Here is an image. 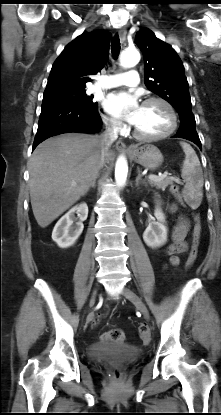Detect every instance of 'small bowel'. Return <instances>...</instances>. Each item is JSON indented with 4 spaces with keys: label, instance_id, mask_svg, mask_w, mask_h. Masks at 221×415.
Listing matches in <instances>:
<instances>
[{
    "label": "small bowel",
    "instance_id": "c3829d8e",
    "mask_svg": "<svg viewBox=\"0 0 221 415\" xmlns=\"http://www.w3.org/2000/svg\"><path fill=\"white\" fill-rule=\"evenodd\" d=\"M167 209L170 212L176 211L175 204H169ZM190 224L188 219L180 217L177 224L174 226L171 236V242L166 247L165 251L169 255V263L177 265L179 263L178 255L188 250V243L185 241L186 234L189 230Z\"/></svg>",
    "mask_w": 221,
    "mask_h": 415
}]
</instances>
